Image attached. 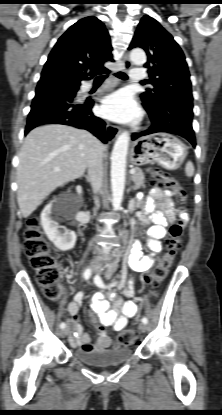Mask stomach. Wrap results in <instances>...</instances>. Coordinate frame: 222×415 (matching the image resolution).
<instances>
[{
	"mask_svg": "<svg viewBox=\"0 0 222 415\" xmlns=\"http://www.w3.org/2000/svg\"><path fill=\"white\" fill-rule=\"evenodd\" d=\"M187 154L186 145L177 137L156 133L136 140L130 159L137 166L158 163L166 169L174 170L180 167Z\"/></svg>",
	"mask_w": 222,
	"mask_h": 415,
	"instance_id": "0dacf381",
	"label": "stomach"
}]
</instances>
